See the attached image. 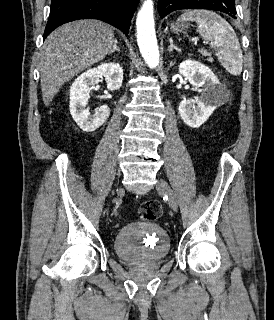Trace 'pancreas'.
<instances>
[{"mask_svg": "<svg viewBox=\"0 0 274 320\" xmlns=\"http://www.w3.org/2000/svg\"><path fill=\"white\" fill-rule=\"evenodd\" d=\"M202 56H209V58H207L208 62H214L213 58H211V54L210 52H206V50H203V52H201Z\"/></svg>", "mask_w": 274, "mask_h": 320, "instance_id": "cf45deb5", "label": "pancreas"}]
</instances>
